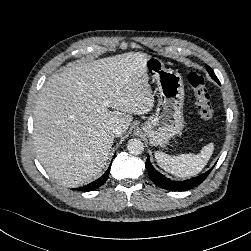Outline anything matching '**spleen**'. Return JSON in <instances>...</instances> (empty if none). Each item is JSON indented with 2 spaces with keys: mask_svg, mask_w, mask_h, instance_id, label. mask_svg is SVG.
<instances>
[{
  "mask_svg": "<svg viewBox=\"0 0 251 251\" xmlns=\"http://www.w3.org/2000/svg\"><path fill=\"white\" fill-rule=\"evenodd\" d=\"M214 145L212 143L204 146L201 152L195 154H181L179 156L168 155L164 152H155L158 165L165 171L178 177H191L197 175L207 165Z\"/></svg>",
  "mask_w": 251,
  "mask_h": 251,
  "instance_id": "obj_1",
  "label": "spleen"
}]
</instances>
